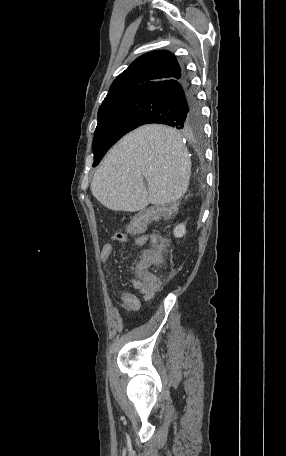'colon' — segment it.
I'll list each match as a JSON object with an SVG mask.
<instances>
[{"instance_id":"obj_1","label":"colon","mask_w":286,"mask_h":456,"mask_svg":"<svg viewBox=\"0 0 286 456\" xmlns=\"http://www.w3.org/2000/svg\"><path fill=\"white\" fill-rule=\"evenodd\" d=\"M150 215H142L134 217L128 227L129 232L140 233L143 232ZM123 233H117L114 238H119ZM164 247V241L161 237L156 236L153 239V248L144 252L141 260L134 267V281L138 288L147 291H156L160 288L162 280L150 272L149 266L158 264L161 260V250Z\"/></svg>"}]
</instances>
